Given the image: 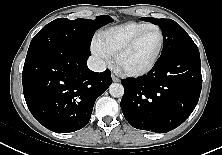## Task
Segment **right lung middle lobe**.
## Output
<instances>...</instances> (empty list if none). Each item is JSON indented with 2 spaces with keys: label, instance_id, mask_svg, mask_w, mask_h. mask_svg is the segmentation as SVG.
I'll list each match as a JSON object with an SVG mask.
<instances>
[{
  "label": "right lung middle lobe",
  "instance_id": "dd1d6c3e",
  "mask_svg": "<svg viewBox=\"0 0 222 155\" xmlns=\"http://www.w3.org/2000/svg\"><path fill=\"white\" fill-rule=\"evenodd\" d=\"M107 15L95 20L58 18L48 23L32 39L25 63L47 53L59 50L90 53V43L97 29L112 22Z\"/></svg>",
  "mask_w": 222,
  "mask_h": 155
}]
</instances>
